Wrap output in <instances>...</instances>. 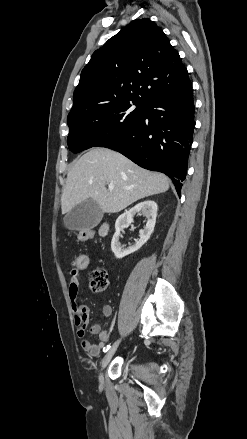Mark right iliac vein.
Here are the masks:
<instances>
[{
	"mask_svg": "<svg viewBox=\"0 0 247 439\" xmlns=\"http://www.w3.org/2000/svg\"><path fill=\"white\" fill-rule=\"evenodd\" d=\"M120 340H117L112 346L111 348L108 350V352L105 354L102 363H101V371L108 365V363L110 362V360L112 359L114 353L116 352L118 346H119ZM99 380L102 382L103 381V373L100 372L99 374Z\"/></svg>",
	"mask_w": 247,
	"mask_h": 439,
	"instance_id": "63e3f726",
	"label": "right iliac vein"
}]
</instances>
